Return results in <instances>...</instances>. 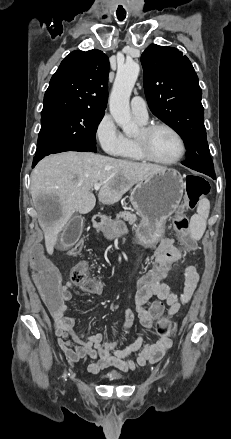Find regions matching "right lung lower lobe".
<instances>
[{
    "mask_svg": "<svg viewBox=\"0 0 231 439\" xmlns=\"http://www.w3.org/2000/svg\"><path fill=\"white\" fill-rule=\"evenodd\" d=\"M45 157V155H36L35 157H34V160H33V165H32V167H34L42 158H44Z\"/></svg>",
    "mask_w": 231,
    "mask_h": 439,
    "instance_id": "98d812e1",
    "label": "right lung lower lobe"
}]
</instances>
